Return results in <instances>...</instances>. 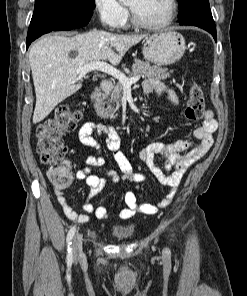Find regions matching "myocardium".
Wrapping results in <instances>:
<instances>
[{
  "instance_id": "1",
  "label": "myocardium",
  "mask_w": 247,
  "mask_h": 296,
  "mask_svg": "<svg viewBox=\"0 0 247 296\" xmlns=\"http://www.w3.org/2000/svg\"><path fill=\"white\" fill-rule=\"evenodd\" d=\"M168 3V14L166 16V18L160 22V23H156V24H148V23H144L142 21H140L135 12L133 11V9L129 6V11H130V18H131V22L134 26L140 28V29H144V30H161L166 28L167 26H169L176 15V11H177V3L176 0H167Z\"/></svg>"
}]
</instances>
